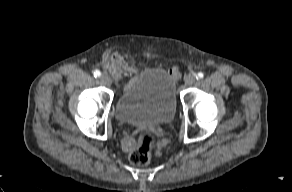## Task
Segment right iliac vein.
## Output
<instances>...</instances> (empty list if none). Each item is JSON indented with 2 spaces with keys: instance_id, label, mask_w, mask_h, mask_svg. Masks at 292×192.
Masks as SVG:
<instances>
[{
  "instance_id": "right-iliac-vein-1",
  "label": "right iliac vein",
  "mask_w": 292,
  "mask_h": 192,
  "mask_svg": "<svg viewBox=\"0 0 292 192\" xmlns=\"http://www.w3.org/2000/svg\"><path fill=\"white\" fill-rule=\"evenodd\" d=\"M101 82L106 85V86H110L111 85V79L108 75L106 74H102L101 76Z\"/></svg>"
}]
</instances>
